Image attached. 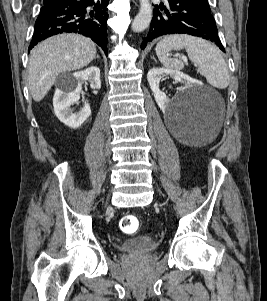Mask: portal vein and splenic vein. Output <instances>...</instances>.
<instances>
[{"label":"portal vein and splenic vein","instance_id":"obj_1","mask_svg":"<svg viewBox=\"0 0 267 301\" xmlns=\"http://www.w3.org/2000/svg\"><path fill=\"white\" fill-rule=\"evenodd\" d=\"M182 60H183L184 62H187L186 57H182Z\"/></svg>","mask_w":267,"mask_h":301}]
</instances>
